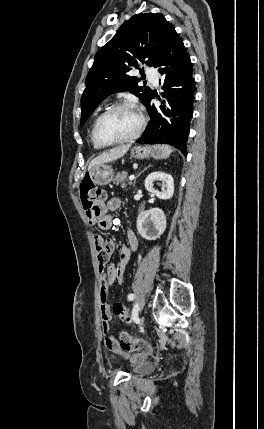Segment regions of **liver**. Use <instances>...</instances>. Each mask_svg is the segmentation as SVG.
I'll return each instance as SVG.
<instances>
[{
  "instance_id": "6515ba94",
  "label": "liver",
  "mask_w": 264,
  "mask_h": 429,
  "mask_svg": "<svg viewBox=\"0 0 264 429\" xmlns=\"http://www.w3.org/2000/svg\"><path fill=\"white\" fill-rule=\"evenodd\" d=\"M130 148V144L121 145L110 149L109 151L103 152L99 156L95 157L88 166V170L90 171L93 167L104 164L107 162L115 161L121 157H123Z\"/></svg>"
}]
</instances>
